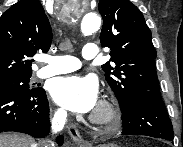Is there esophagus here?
I'll list each match as a JSON object with an SVG mask.
<instances>
[{
	"label": "esophagus",
	"mask_w": 183,
	"mask_h": 147,
	"mask_svg": "<svg viewBox=\"0 0 183 147\" xmlns=\"http://www.w3.org/2000/svg\"><path fill=\"white\" fill-rule=\"evenodd\" d=\"M66 128L68 130L69 135L76 144L80 146H87V142L84 141L83 138L81 137L76 124L70 123L66 126Z\"/></svg>",
	"instance_id": "34e87169"
}]
</instances>
